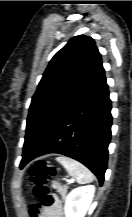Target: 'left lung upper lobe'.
<instances>
[{
    "instance_id": "1",
    "label": "left lung upper lobe",
    "mask_w": 132,
    "mask_h": 217,
    "mask_svg": "<svg viewBox=\"0 0 132 217\" xmlns=\"http://www.w3.org/2000/svg\"><path fill=\"white\" fill-rule=\"evenodd\" d=\"M101 67V54L94 40L85 35L73 37L54 55L31 101L23 154L39 144Z\"/></svg>"
}]
</instances>
